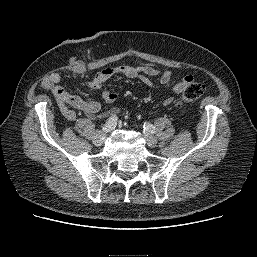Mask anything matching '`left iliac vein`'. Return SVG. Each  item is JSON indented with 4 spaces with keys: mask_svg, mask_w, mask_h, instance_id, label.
<instances>
[{
    "mask_svg": "<svg viewBox=\"0 0 257 257\" xmlns=\"http://www.w3.org/2000/svg\"><path fill=\"white\" fill-rule=\"evenodd\" d=\"M143 137H144V139H145V141H146V143H147V145H148L149 147H155V146H156V144H157V139H156L153 135H151V134L148 133V132H145V133L143 134Z\"/></svg>",
    "mask_w": 257,
    "mask_h": 257,
    "instance_id": "1",
    "label": "left iliac vein"
}]
</instances>
